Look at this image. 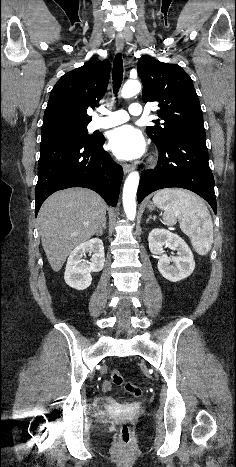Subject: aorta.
I'll list each match as a JSON object with an SVG mask.
<instances>
[{"label":"aorta","instance_id":"aorta-1","mask_svg":"<svg viewBox=\"0 0 236 467\" xmlns=\"http://www.w3.org/2000/svg\"><path fill=\"white\" fill-rule=\"evenodd\" d=\"M141 90V84L138 80H128L121 91L123 98H130L138 94ZM139 173L132 171L125 180L123 188V207L127 218L133 221L136 217V193L139 184Z\"/></svg>","mask_w":236,"mask_h":467}]
</instances>
